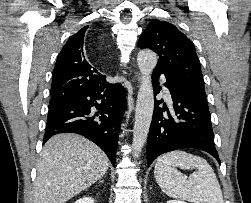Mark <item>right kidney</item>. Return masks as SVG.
Segmentation results:
<instances>
[{"mask_svg": "<svg viewBox=\"0 0 251 203\" xmlns=\"http://www.w3.org/2000/svg\"><path fill=\"white\" fill-rule=\"evenodd\" d=\"M74 203H94V200L91 197H83V198L78 199Z\"/></svg>", "mask_w": 251, "mask_h": 203, "instance_id": "right-kidney-1", "label": "right kidney"}]
</instances>
